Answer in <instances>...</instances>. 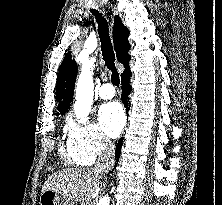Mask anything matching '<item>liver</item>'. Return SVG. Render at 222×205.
I'll return each instance as SVG.
<instances>
[{
    "label": "liver",
    "instance_id": "1",
    "mask_svg": "<svg viewBox=\"0 0 222 205\" xmlns=\"http://www.w3.org/2000/svg\"><path fill=\"white\" fill-rule=\"evenodd\" d=\"M102 175L94 169L67 168L53 173L42 187V192L51 190L63 199L91 205L100 190Z\"/></svg>",
    "mask_w": 222,
    "mask_h": 205
}]
</instances>
